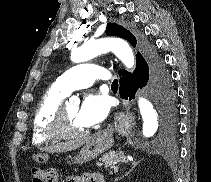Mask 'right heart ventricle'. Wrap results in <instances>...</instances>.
<instances>
[{
	"label": "right heart ventricle",
	"mask_w": 211,
	"mask_h": 182,
	"mask_svg": "<svg viewBox=\"0 0 211 182\" xmlns=\"http://www.w3.org/2000/svg\"><path fill=\"white\" fill-rule=\"evenodd\" d=\"M66 96L64 92L54 85L42 96L36 107L32 122L33 144L42 145L57 139L49 133L48 129L56 109Z\"/></svg>",
	"instance_id": "right-heart-ventricle-1"
}]
</instances>
